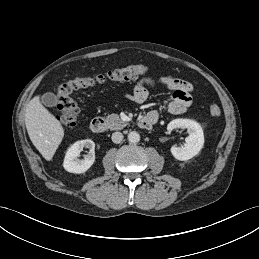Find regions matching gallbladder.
<instances>
[{
  "mask_svg": "<svg viewBox=\"0 0 259 259\" xmlns=\"http://www.w3.org/2000/svg\"><path fill=\"white\" fill-rule=\"evenodd\" d=\"M42 103L48 107H54L58 103L57 96L53 93H45L41 97Z\"/></svg>",
  "mask_w": 259,
  "mask_h": 259,
  "instance_id": "bac80fb5",
  "label": "gallbladder"
}]
</instances>
